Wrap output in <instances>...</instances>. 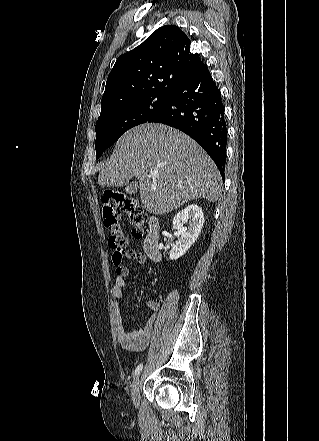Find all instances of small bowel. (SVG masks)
Returning <instances> with one entry per match:
<instances>
[{
  "label": "small bowel",
  "mask_w": 319,
  "mask_h": 441,
  "mask_svg": "<svg viewBox=\"0 0 319 441\" xmlns=\"http://www.w3.org/2000/svg\"><path fill=\"white\" fill-rule=\"evenodd\" d=\"M126 257L138 264H144L146 255L143 252L130 250L126 253ZM116 279L111 289V298L114 309V320L117 333V340L120 345L128 351H143L145 350L154 335L155 325L157 322L158 311L160 303L158 300L149 299L146 302L147 308L150 310V315L143 328L138 332H127L123 326L121 315V299L123 297V289L126 286V277L129 270L121 263L116 265Z\"/></svg>",
  "instance_id": "c3829d8e"
}]
</instances>
